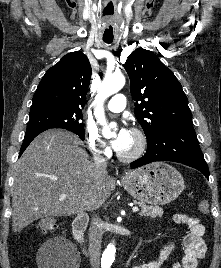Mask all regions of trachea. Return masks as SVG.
Segmentation results:
<instances>
[{
	"instance_id": "trachea-1",
	"label": "trachea",
	"mask_w": 221,
	"mask_h": 268,
	"mask_svg": "<svg viewBox=\"0 0 221 268\" xmlns=\"http://www.w3.org/2000/svg\"><path fill=\"white\" fill-rule=\"evenodd\" d=\"M103 41H104L105 43L110 44V43H112V42H113V39H103Z\"/></svg>"
}]
</instances>
